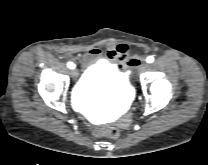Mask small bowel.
I'll return each instance as SVG.
<instances>
[{
	"mask_svg": "<svg viewBox=\"0 0 208 165\" xmlns=\"http://www.w3.org/2000/svg\"><path fill=\"white\" fill-rule=\"evenodd\" d=\"M105 58L112 63H116L120 68L126 69L137 64L138 59L134 55H130L129 47L126 44L109 45L105 52ZM102 57L99 49H91L83 56V62L90 65L98 61Z\"/></svg>",
	"mask_w": 208,
	"mask_h": 165,
	"instance_id": "c3829d8e",
	"label": "small bowel"
}]
</instances>
